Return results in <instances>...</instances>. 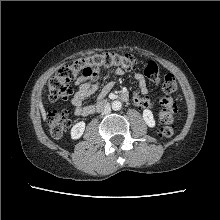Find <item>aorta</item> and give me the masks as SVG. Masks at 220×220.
I'll return each instance as SVG.
<instances>
[{
    "label": "aorta",
    "instance_id": "762f6f07",
    "mask_svg": "<svg viewBox=\"0 0 220 220\" xmlns=\"http://www.w3.org/2000/svg\"><path fill=\"white\" fill-rule=\"evenodd\" d=\"M121 107H122V104H121L120 101H114V102H112V109H113L114 111H119V110L121 109Z\"/></svg>",
    "mask_w": 220,
    "mask_h": 220
}]
</instances>
